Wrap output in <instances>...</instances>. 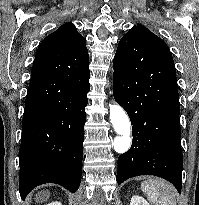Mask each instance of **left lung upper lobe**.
Listing matches in <instances>:
<instances>
[{
    "label": "left lung upper lobe",
    "instance_id": "1",
    "mask_svg": "<svg viewBox=\"0 0 199 205\" xmlns=\"http://www.w3.org/2000/svg\"><path fill=\"white\" fill-rule=\"evenodd\" d=\"M130 31L141 32L142 34L150 38L152 41L156 42L158 45L163 47L171 55L170 50L168 46L165 44V42L162 39H160L158 36L153 34L148 28L142 25H137V26H134Z\"/></svg>",
    "mask_w": 199,
    "mask_h": 205
}]
</instances>
